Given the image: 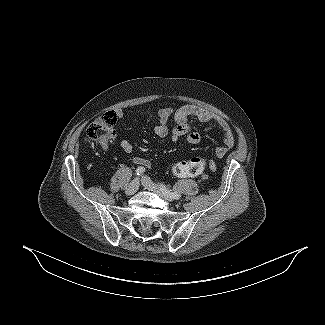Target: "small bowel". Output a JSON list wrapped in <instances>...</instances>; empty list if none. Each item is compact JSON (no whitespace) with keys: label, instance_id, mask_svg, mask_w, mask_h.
Instances as JSON below:
<instances>
[{"label":"small bowel","instance_id":"small-bowel-1","mask_svg":"<svg viewBox=\"0 0 325 325\" xmlns=\"http://www.w3.org/2000/svg\"><path fill=\"white\" fill-rule=\"evenodd\" d=\"M114 114L117 118H122L124 115L122 110H117ZM157 116L159 123L155 127V134L158 137L165 138L170 135L173 141L183 138L188 144L192 145L200 143L202 136L198 131L192 128L189 122L190 117H195L201 122H210L215 119L214 116L205 108L191 104L183 105L177 109H172L170 107L160 108L157 110ZM171 117L175 120V126L172 129H169L167 123ZM216 121L219 127L223 130L224 146L217 147L215 150L216 156L221 158L234 146L235 137L227 122L220 119H217ZM120 147L128 154L132 153L134 149L133 145L125 139L120 141ZM132 162L144 167L150 166L149 161L142 157H133ZM216 167L217 165L215 161H210L208 163L209 171H215ZM195 176L207 179L209 175L207 172L202 171L200 174Z\"/></svg>","mask_w":325,"mask_h":325}]
</instances>
